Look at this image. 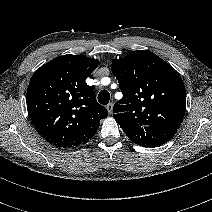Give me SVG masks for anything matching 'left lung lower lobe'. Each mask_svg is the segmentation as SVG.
I'll list each match as a JSON object with an SVG mask.
<instances>
[{"instance_id": "0a47b994", "label": "left lung lower lobe", "mask_w": 212, "mask_h": 212, "mask_svg": "<svg viewBox=\"0 0 212 212\" xmlns=\"http://www.w3.org/2000/svg\"><path fill=\"white\" fill-rule=\"evenodd\" d=\"M177 132V128L164 126H145L138 127L126 135L135 144L144 147L160 146L168 142Z\"/></svg>"}]
</instances>
